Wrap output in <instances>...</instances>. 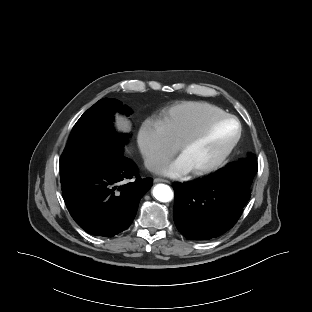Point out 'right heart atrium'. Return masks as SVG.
Instances as JSON below:
<instances>
[{"instance_id": "d8ad5b80", "label": "right heart atrium", "mask_w": 312, "mask_h": 312, "mask_svg": "<svg viewBox=\"0 0 312 312\" xmlns=\"http://www.w3.org/2000/svg\"><path fill=\"white\" fill-rule=\"evenodd\" d=\"M137 141L145 165L151 171L167 162L176 149L163 123L155 117L146 118L142 122Z\"/></svg>"}]
</instances>
